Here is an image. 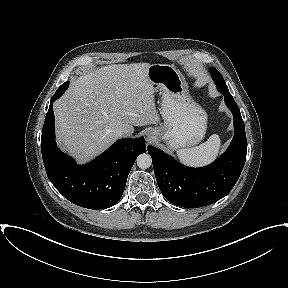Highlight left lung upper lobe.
Masks as SVG:
<instances>
[{
	"label": "left lung upper lobe",
	"instance_id": "left-lung-upper-lobe-1",
	"mask_svg": "<svg viewBox=\"0 0 288 288\" xmlns=\"http://www.w3.org/2000/svg\"><path fill=\"white\" fill-rule=\"evenodd\" d=\"M210 72L212 74V78L214 79L217 89L219 92H221L222 94L224 93H230L228 90V87L223 79V76L219 73V71L217 69H215L214 67H212L210 69Z\"/></svg>",
	"mask_w": 288,
	"mask_h": 288
}]
</instances>
